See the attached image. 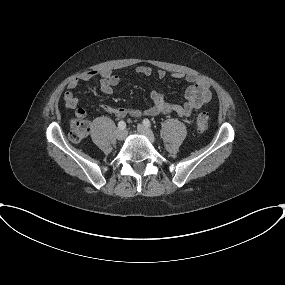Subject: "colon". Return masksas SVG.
<instances>
[{
	"mask_svg": "<svg viewBox=\"0 0 285 285\" xmlns=\"http://www.w3.org/2000/svg\"><path fill=\"white\" fill-rule=\"evenodd\" d=\"M209 116L205 111L199 112L196 118V128L200 133L205 132L208 129ZM90 131V124L88 121L79 118L75 120L72 124L71 131L69 133V138L74 143L81 142Z\"/></svg>",
	"mask_w": 285,
	"mask_h": 285,
	"instance_id": "1",
	"label": "colon"
}]
</instances>
